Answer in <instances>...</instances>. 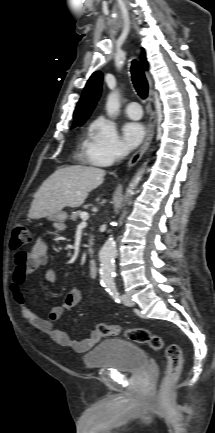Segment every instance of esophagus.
<instances>
[{"label":"esophagus","mask_w":215,"mask_h":433,"mask_svg":"<svg viewBox=\"0 0 215 433\" xmlns=\"http://www.w3.org/2000/svg\"><path fill=\"white\" fill-rule=\"evenodd\" d=\"M147 79L149 82V105H150V119L148 123V129L146 138L142 144V146L132 155L130 160L128 161V167H133L144 155L147 148L149 147L153 136L155 132V125H156V119H157V113H156V107H155V101H154V94L152 92L153 90V82L151 79V76L147 73Z\"/></svg>","instance_id":"esophagus-1"}]
</instances>
